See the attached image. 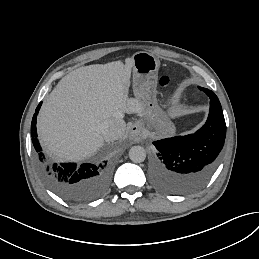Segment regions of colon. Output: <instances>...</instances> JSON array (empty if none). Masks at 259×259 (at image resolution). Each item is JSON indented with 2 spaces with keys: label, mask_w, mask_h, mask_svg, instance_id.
I'll return each mask as SVG.
<instances>
[{
  "label": "colon",
  "mask_w": 259,
  "mask_h": 259,
  "mask_svg": "<svg viewBox=\"0 0 259 259\" xmlns=\"http://www.w3.org/2000/svg\"><path fill=\"white\" fill-rule=\"evenodd\" d=\"M170 82H171V80H170V78H169L168 76H163V77L160 79V81H159L160 85H161L164 89H168V88H169Z\"/></svg>",
  "instance_id": "5ec220e1"
}]
</instances>
